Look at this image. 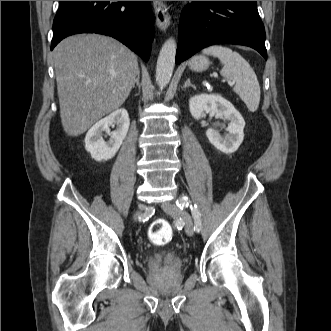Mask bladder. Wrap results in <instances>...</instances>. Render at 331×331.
Segmentation results:
<instances>
[{"label": "bladder", "instance_id": "bladder-1", "mask_svg": "<svg viewBox=\"0 0 331 331\" xmlns=\"http://www.w3.org/2000/svg\"><path fill=\"white\" fill-rule=\"evenodd\" d=\"M172 256L171 252L169 251H164L161 252L158 257L162 260V261H166L167 259H169Z\"/></svg>", "mask_w": 331, "mask_h": 331}]
</instances>
